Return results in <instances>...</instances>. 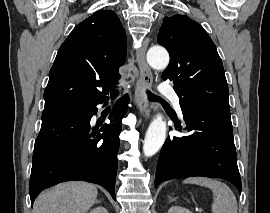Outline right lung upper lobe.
Segmentation results:
<instances>
[{
    "label": "right lung upper lobe",
    "mask_w": 270,
    "mask_h": 213,
    "mask_svg": "<svg viewBox=\"0 0 270 213\" xmlns=\"http://www.w3.org/2000/svg\"><path fill=\"white\" fill-rule=\"evenodd\" d=\"M125 38V30L111 10L97 11L78 24L61 45L50 70L45 108L106 97L121 78L118 70L125 62Z\"/></svg>",
    "instance_id": "right-lung-upper-lobe-1"
}]
</instances>
